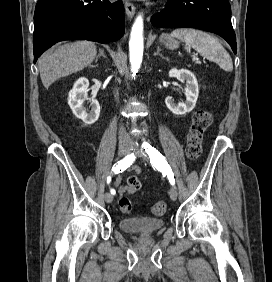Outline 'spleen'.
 Segmentation results:
<instances>
[{
    "instance_id": "1",
    "label": "spleen",
    "mask_w": 272,
    "mask_h": 282,
    "mask_svg": "<svg viewBox=\"0 0 272 282\" xmlns=\"http://www.w3.org/2000/svg\"><path fill=\"white\" fill-rule=\"evenodd\" d=\"M171 37L182 40L187 51H190L192 47L201 56L218 63L223 70L227 72L233 70L230 55L219 41L210 34L200 30L184 28L174 30Z\"/></svg>"
}]
</instances>
